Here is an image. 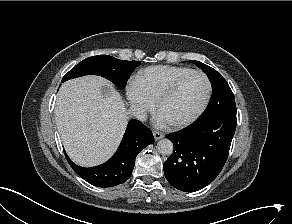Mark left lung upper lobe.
<instances>
[{"mask_svg":"<svg viewBox=\"0 0 292 224\" xmlns=\"http://www.w3.org/2000/svg\"><path fill=\"white\" fill-rule=\"evenodd\" d=\"M202 71L206 73L212 84V96L210 103L200 119L206 118L214 113L229 108H236L234 95L227 81L212 67L205 65L199 61H192Z\"/></svg>","mask_w":292,"mask_h":224,"instance_id":"5c2ea615","label":"left lung upper lobe"}]
</instances>
